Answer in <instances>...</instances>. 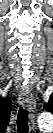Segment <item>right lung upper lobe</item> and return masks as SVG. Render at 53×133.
Wrapping results in <instances>:
<instances>
[{"label":"right lung upper lobe","mask_w":53,"mask_h":133,"mask_svg":"<svg viewBox=\"0 0 53 133\" xmlns=\"http://www.w3.org/2000/svg\"><path fill=\"white\" fill-rule=\"evenodd\" d=\"M12 109L11 101L8 98L0 97V125L5 130Z\"/></svg>","instance_id":"1"}]
</instances>
